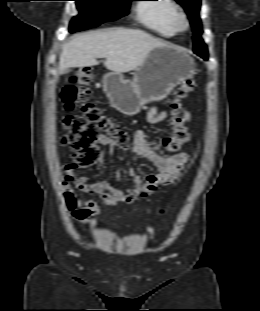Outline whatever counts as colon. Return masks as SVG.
I'll return each instance as SVG.
<instances>
[{
  "mask_svg": "<svg viewBox=\"0 0 260 311\" xmlns=\"http://www.w3.org/2000/svg\"><path fill=\"white\" fill-rule=\"evenodd\" d=\"M92 80L89 68L78 70L62 90V101L67 110H72L76 103H81V115H68L63 120L66 134L63 143L73 151V158L78 166L95 162L101 155L99 146L105 137L125 144L128 134L117 122L106 116L100 107L90 101L91 93L87 86ZM196 89L193 78L186 79L176 91L172 102L173 118L171 135L158 141V146L172 153H179L189 141V134L178 112L183 100Z\"/></svg>",
  "mask_w": 260,
  "mask_h": 311,
  "instance_id": "colon-1",
  "label": "colon"
}]
</instances>
